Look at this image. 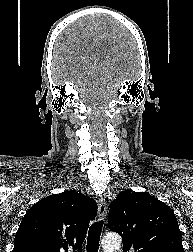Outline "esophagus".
Masks as SVG:
<instances>
[{
	"instance_id": "34e87169",
	"label": "esophagus",
	"mask_w": 193,
	"mask_h": 252,
	"mask_svg": "<svg viewBox=\"0 0 193 252\" xmlns=\"http://www.w3.org/2000/svg\"><path fill=\"white\" fill-rule=\"evenodd\" d=\"M98 215L100 220H105L107 215V205L103 198L98 202Z\"/></svg>"
}]
</instances>
